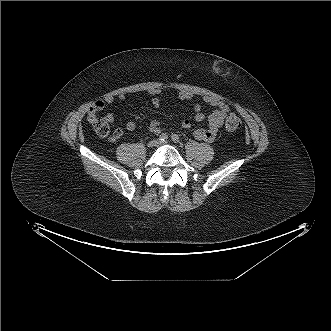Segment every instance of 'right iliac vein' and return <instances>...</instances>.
<instances>
[{"label": "right iliac vein", "mask_w": 331, "mask_h": 331, "mask_svg": "<svg viewBox=\"0 0 331 331\" xmlns=\"http://www.w3.org/2000/svg\"><path fill=\"white\" fill-rule=\"evenodd\" d=\"M158 144H159V141H158V140H151V141L147 144V146H148L149 148H153V147H156Z\"/></svg>", "instance_id": "right-iliac-vein-1"}]
</instances>
